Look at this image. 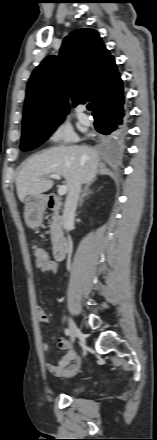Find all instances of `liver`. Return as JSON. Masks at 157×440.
<instances>
[{
	"instance_id": "obj_1",
	"label": "liver",
	"mask_w": 157,
	"mask_h": 440,
	"mask_svg": "<svg viewBox=\"0 0 157 440\" xmlns=\"http://www.w3.org/2000/svg\"><path fill=\"white\" fill-rule=\"evenodd\" d=\"M99 161V151L87 145L46 149L21 165L16 180L18 198L24 202L27 196L41 195L50 190L54 184L47 179L50 174L63 176L69 190L76 181L92 183L98 173Z\"/></svg>"
}]
</instances>
